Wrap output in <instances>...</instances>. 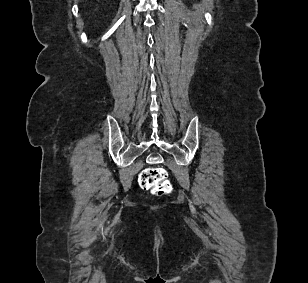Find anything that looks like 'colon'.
I'll return each mask as SVG.
<instances>
[{
    "label": "colon",
    "mask_w": 308,
    "mask_h": 283,
    "mask_svg": "<svg viewBox=\"0 0 308 283\" xmlns=\"http://www.w3.org/2000/svg\"><path fill=\"white\" fill-rule=\"evenodd\" d=\"M138 182L141 188L150 190L158 196L168 194L172 190V184L167 178V172L161 167L144 169L139 175Z\"/></svg>",
    "instance_id": "1"
}]
</instances>
